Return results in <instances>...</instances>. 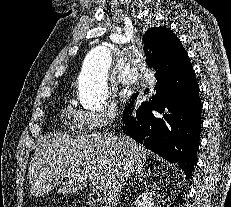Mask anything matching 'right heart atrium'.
Masks as SVG:
<instances>
[{
	"mask_svg": "<svg viewBox=\"0 0 231 207\" xmlns=\"http://www.w3.org/2000/svg\"><path fill=\"white\" fill-rule=\"evenodd\" d=\"M116 116V108L112 104H108L100 111L80 113V120L85 129L97 130L102 127L110 126Z\"/></svg>",
	"mask_w": 231,
	"mask_h": 207,
	"instance_id": "d8ad5b80",
	"label": "right heart atrium"
}]
</instances>
